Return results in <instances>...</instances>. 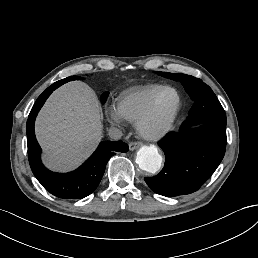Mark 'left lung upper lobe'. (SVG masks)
I'll return each mask as SVG.
<instances>
[{
    "instance_id": "1",
    "label": "left lung upper lobe",
    "mask_w": 258,
    "mask_h": 258,
    "mask_svg": "<svg viewBox=\"0 0 258 258\" xmlns=\"http://www.w3.org/2000/svg\"><path fill=\"white\" fill-rule=\"evenodd\" d=\"M158 75L180 81L194 102L189 117L182 128H190L199 123H214L226 126L225 111L212 89L202 80L186 74L157 72Z\"/></svg>"
}]
</instances>
